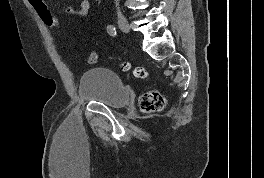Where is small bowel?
<instances>
[{"label":"small bowel","mask_w":264,"mask_h":178,"mask_svg":"<svg viewBox=\"0 0 264 178\" xmlns=\"http://www.w3.org/2000/svg\"><path fill=\"white\" fill-rule=\"evenodd\" d=\"M90 8L89 0H81L79 5L70 6L66 8L63 12L67 15H76L85 18L88 15Z\"/></svg>","instance_id":"small-bowel-1"}]
</instances>
